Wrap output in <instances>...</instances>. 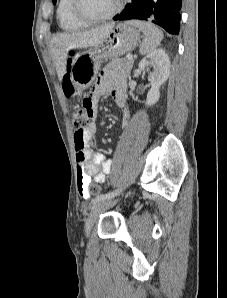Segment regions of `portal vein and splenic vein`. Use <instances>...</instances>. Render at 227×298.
<instances>
[{
    "label": "portal vein and splenic vein",
    "instance_id": "portal-vein-and-splenic-vein-1",
    "mask_svg": "<svg viewBox=\"0 0 227 298\" xmlns=\"http://www.w3.org/2000/svg\"><path fill=\"white\" fill-rule=\"evenodd\" d=\"M127 59L132 60L133 59L132 55H127Z\"/></svg>",
    "mask_w": 227,
    "mask_h": 298
}]
</instances>
